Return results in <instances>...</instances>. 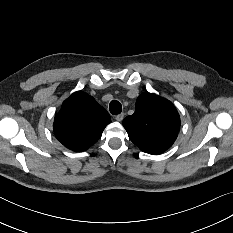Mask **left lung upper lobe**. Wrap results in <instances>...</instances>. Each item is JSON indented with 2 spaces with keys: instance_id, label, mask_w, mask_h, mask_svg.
Returning <instances> with one entry per match:
<instances>
[{
  "instance_id": "obj_1",
  "label": "left lung upper lobe",
  "mask_w": 233,
  "mask_h": 233,
  "mask_svg": "<svg viewBox=\"0 0 233 233\" xmlns=\"http://www.w3.org/2000/svg\"><path fill=\"white\" fill-rule=\"evenodd\" d=\"M131 141L140 150L160 154L172 146L180 128V117L167 99L142 93L136 100L133 115L123 120Z\"/></svg>"
}]
</instances>
